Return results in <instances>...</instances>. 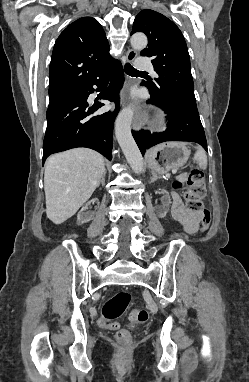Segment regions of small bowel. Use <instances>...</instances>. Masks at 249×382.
Wrapping results in <instances>:
<instances>
[{
  "mask_svg": "<svg viewBox=\"0 0 249 382\" xmlns=\"http://www.w3.org/2000/svg\"><path fill=\"white\" fill-rule=\"evenodd\" d=\"M171 213L174 220L181 224L188 234H193L198 230L200 214L186 210L178 195L172 197Z\"/></svg>",
  "mask_w": 249,
  "mask_h": 382,
  "instance_id": "obj_1",
  "label": "small bowel"
}]
</instances>
